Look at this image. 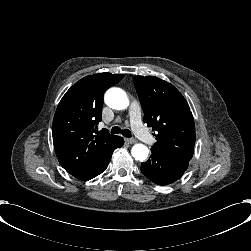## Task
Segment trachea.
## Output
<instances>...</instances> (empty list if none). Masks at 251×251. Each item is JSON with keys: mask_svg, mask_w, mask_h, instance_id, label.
Listing matches in <instances>:
<instances>
[{"mask_svg": "<svg viewBox=\"0 0 251 251\" xmlns=\"http://www.w3.org/2000/svg\"><path fill=\"white\" fill-rule=\"evenodd\" d=\"M111 133L118 134L121 133L124 137L130 138L131 137V131L129 129H120L118 126H114L111 129Z\"/></svg>", "mask_w": 251, "mask_h": 251, "instance_id": "trachea-1", "label": "trachea"}]
</instances>
